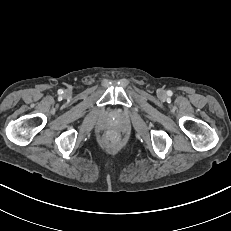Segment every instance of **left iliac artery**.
Instances as JSON below:
<instances>
[{"label": "left iliac artery", "instance_id": "44dca946", "mask_svg": "<svg viewBox=\"0 0 231 231\" xmlns=\"http://www.w3.org/2000/svg\"><path fill=\"white\" fill-rule=\"evenodd\" d=\"M167 94L168 95H172V91H167Z\"/></svg>", "mask_w": 231, "mask_h": 231}]
</instances>
